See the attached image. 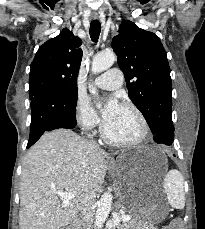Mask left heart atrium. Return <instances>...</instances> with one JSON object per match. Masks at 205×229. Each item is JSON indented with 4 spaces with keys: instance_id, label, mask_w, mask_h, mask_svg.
Here are the masks:
<instances>
[{
    "instance_id": "39dd6f15",
    "label": "left heart atrium",
    "mask_w": 205,
    "mask_h": 229,
    "mask_svg": "<svg viewBox=\"0 0 205 229\" xmlns=\"http://www.w3.org/2000/svg\"><path fill=\"white\" fill-rule=\"evenodd\" d=\"M120 106L121 105L116 98L109 99L103 109L104 120H109L117 112Z\"/></svg>"
}]
</instances>
